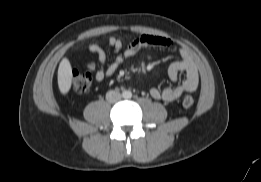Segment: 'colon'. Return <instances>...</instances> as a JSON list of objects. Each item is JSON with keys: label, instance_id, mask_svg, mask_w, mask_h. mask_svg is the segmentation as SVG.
Masks as SVG:
<instances>
[{"label": "colon", "instance_id": "colon-1", "mask_svg": "<svg viewBox=\"0 0 261 182\" xmlns=\"http://www.w3.org/2000/svg\"><path fill=\"white\" fill-rule=\"evenodd\" d=\"M72 88L79 93H88L91 89V75L88 73H73ZM194 104L192 96H185L183 99V105L185 107H191Z\"/></svg>", "mask_w": 261, "mask_h": 182}]
</instances>
